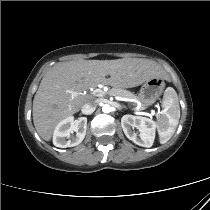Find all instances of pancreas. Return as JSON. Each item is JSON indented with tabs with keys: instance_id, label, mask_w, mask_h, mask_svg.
<instances>
[{
	"instance_id": "cf45deb5",
	"label": "pancreas",
	"mask_w": 210,
	"mask_h": 210,
	"mask_svg": "<svg viewBox=\"0 0 210 210\" xmlns=\"http://www.w3.org/2000/svg\"><path fill=\"white\" fill-rule=\"evenodd\" d=\"M111 96H119L127 99H135L136 95L128 90H124L122 88H112L108 92Z\"/></svg>"
}]
</instances>
